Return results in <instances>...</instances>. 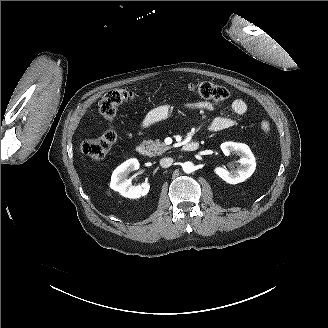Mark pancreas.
<instances>
[{
  "label": "pancreas",
  "mask_w": 328,
  "mask_h": 328,
  "mask_svg": "<svg viewBox=\"0 0 328 328\" xmlns=\"http://www.w3.org/2000/svg\"><path fill=\"white\" fill-rule=\"evenodd\" d=\"M146 148L150 152L149 156L161 155L165 151L169 150L171 147L166 146L165 143L160 142L159 140H148L145 141Z\"/></svg>",
  "instance_id": "pancreas-1"
}]
</instances>
